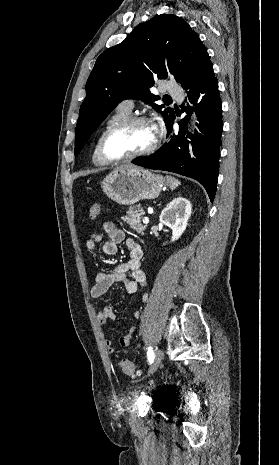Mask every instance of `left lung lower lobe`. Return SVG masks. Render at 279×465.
<instances>
[{
	"instance_id": "1",
	"label": "left lung lower lobe",
	"mask_w": 279,
	"mask_h": 465,
	"mask_svg": "<svg viewBox=\"0 0 279 465\" xmlns=\"http://www.w3.org/2000/svg\"><path fill=\"white\" fill-rule=\"evenodd\" d=\"M182 87L187 90L188 105L195 106L185 110L187 114L192 110L196 112L200 123L197 124L198 131L186 136L187 117H184L179 122V131L171 133L172 122L167 128L166 144L150 156L136 158L132 163L193 178L204 186L212 202L218 179L223 122L218 83L207 52Z\"/></svg>"
}]
</instances>
